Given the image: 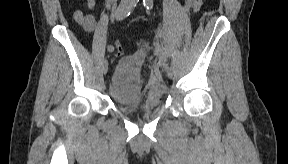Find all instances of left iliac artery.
I'll list each match as a JSON object with an SVG mask.
<instances>
[{
  "label": "left iliac artery",
  "mask_w": 288,
  "mask_h": 164,
  "mask_svg": "<svg viewBox=\"0 0 288 164\" xmlns=\"http://www.w3.org/2000/svg\"><path fill=\"white\" fill-rule=\"evenodd\" d=\"M143 4L146 9H150L153 6V0H143ZM166 54V49L163 46H160V56L163 58Z\"/></svg>",
  "instance_id": "left-iliac-artery-1"
}]
</instances>
